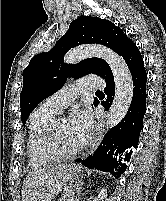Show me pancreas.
I'll list each match as a JSON object with an SVG mask.
<instances>
[{"instance_id": "cf45deb5", "label": "pancreas", "mask_w": 166, "mask_h": 201, "mask_svg": "<svg viewBox=\"0 0 166 201\" xmlns=\"http://www.w3.org/2000/svg\"><path fill=\"white\" fill-rule=\"evenodd\" d=\"M74 194L72 192V190H69L63 197L61 200L59 201H74Z\"/></svg>"}]
</instances>
